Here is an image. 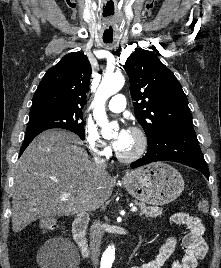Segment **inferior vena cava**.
Returning a JSON list of instances; mask_svg holds the SVG:
<instances>
[{"instance_id":"1","label":"inferior vena cava","mask_w":221,"mask_h":268,"mask_svg":"<svg viewBox=\"0 0 221 268\" xmlns=\"http://www.w3.org/2000/svg\"><path fill=\"white\" fill-rule=\"evenodd\" d=\"M96 169L100 172H106L105 159L96 156L94 157ZM102 231L98 222H94L90 228V251L91 260L95 268L99 264L100 246H101Z\"/></svg>"}]
</instances>
